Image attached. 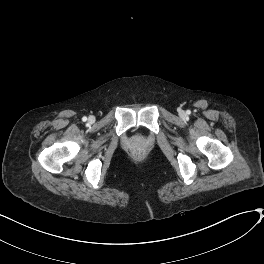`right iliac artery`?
Masks as SVG:
<instances>
[{
  "mask_svg": "<svg viewBox=\"0 0 264 264\" xmlns=\"http://www.w3.org/2000/svg\"><path fill=\"white\" fill-rule=\"evenodd\" d=\"M82 120H83L84 122L87 121V117L84 116V117L82 118Z\"/></svg>",
  "mask_w": 264,
  "mask_h": 264,
  "instance_id": "obj_1",
  "label": "right iliac artery"
}]
</instances>
